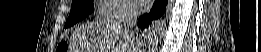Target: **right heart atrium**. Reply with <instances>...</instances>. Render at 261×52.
<instances>
[{"label":"right heart atrium","mask_w":261,"mask_h":52,"mask_svg":"<svg viewBox=\"0 0 261 52\" xmlns=\"http://www.w3.org/2000/svg\"><path fill=\"white\" fill-rule=\"evenodd\" d=\"M103 5L110 9L101 13L108 17L131 18L136 14V8L129 0H102Z\"/></svg>","instance_id":"d8ad5b80"}]
</instances>
